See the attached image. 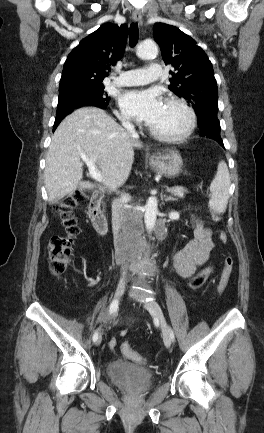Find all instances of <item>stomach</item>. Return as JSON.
Listing matches in <instances>:
<instances>
[{"label": "stomach", "mask_w": 264, "mask_h": 433, "mask_svg": "<svg viewBox=\"0 0 264 433\" xmlns=\"http://www.w3.org/2000/svg\"><path fill=\"white\" fill-rule=\"evenodd\" d=\"M151 168L158 174L171 178L176 177L182 171V157L176 150L160 153L149 162Z\"/></svg>", "instance_id": "obj_1"}]
</instances>
